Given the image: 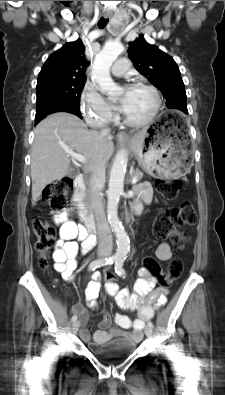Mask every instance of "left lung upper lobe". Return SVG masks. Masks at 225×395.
<instances>
[{"instance_id": "1", "label": "left lung upper lobe", "mask_w": 225, "mask_h": 395, "mask_svg": "<svg viewBox=\"0 0 225 395\" xmlns=\"http://www.w3.org/2000/svg\"><path fill=\"white\" fill-rule=\"evenodd\" d=\"M128 53L136 70L163 93L167 107L188 114L184 83L174 59L147 43L143 35L129 42Z\"/></svg>"}]
</instances>
